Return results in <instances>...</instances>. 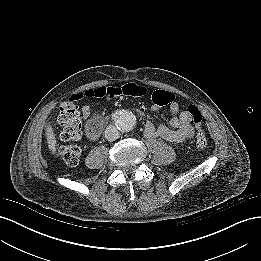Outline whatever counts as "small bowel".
<instances>
[{
	"label": "small bowel",
	"mask_w": 261,
	"mask_h": 261,
	"mask_svg": "<svg viewBox=\"0 0 261 261\" xmlns=\"http://www.w3.org/2000/svg\"><path fill=\"white\" fill-rule=\"evenodd\" d=\"M154 103V102H153ZM100 104L99 101H91L83 105L81 112L84 120H88L91 115V106ZM160 106L155 103L152 106L153 111H157ZM172 118L169 126L165 124H158L148 121L145 124V135L148 138H161L166 141L174 143H183L191 139L194 134V127L192 125V117L187 110L180 111L179 103L174 99L168 104Z\"/></svg>",
	"instance_id": "c3829d8e"
}]
</instances>
